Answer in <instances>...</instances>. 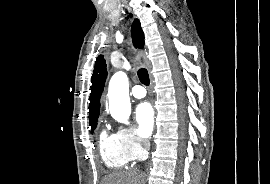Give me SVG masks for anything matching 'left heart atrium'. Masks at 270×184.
<instances>
[{
	"mask_svg": "<svg viewBox=\"0 0 270 184\" xmlns=\"http://www.w3.org/2000/svg\"><path fill=\"white\" fill-rule=\"evenodd\" d=\"M136 121L139 132L144 137H149L154 126V111L149 103H141L136 108Z\"/></svg>",
	"mask_w": 270,
	"mask_h": 184,
	"instance_id": "39dd6f15",
	"label": "left heart atrium"
}]
</instances>
